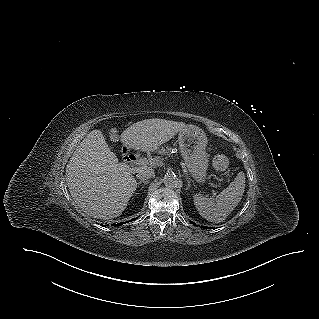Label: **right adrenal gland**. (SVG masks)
Instances as JSON below:
<instances>
[{"label": "right adrenal gland", "mask_w": 319, "mask_h": 319, "mask_svg": "<svg viewBox=\"0 0 319 319\" xmlns=\"http://www.w3.org/2000/svg\"><path fill=\"white\" fill-rule=\"evenodd\" d=\"M142 183H143L144 185H146V184L149 183V181L146 180V179H143V180H140L137 184L140 185V184H142Z\"/></svg>", "instance_id": "obj_1"}]
</instances>
